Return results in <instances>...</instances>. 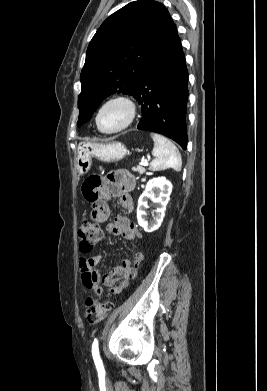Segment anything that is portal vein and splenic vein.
Instances as JSON below:
<instances>
[{"label": "portal vein and splenic vein", "instance_id": "18ae733b", "mask_svg": "<svg viewBox=\"0 0 267 391\" xmlns=\"http://www.w3.org/2000/svg\"><path fill=\"white\" fill-rule=\"evenodd\" d=\"M150 159H143L141 162H140V165H142V166H147L148 165V161H149Z\"/></svg>", "mask_w": 267, "mask_h": 391}]
</instances>
